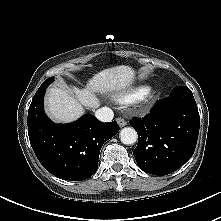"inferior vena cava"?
<instances>
[{
	"label": "inferior vena cava",
	"instance_id": "1",
	"mask_svg": "<svg viewBox=\"0 0 221 221\" xmlns=\"http://www.w3.org/2000/svg\"><path fill=\"white\" fill-rule=\"evenodd\" d=\"M95 116L97 117L98 120L102 122H110L112 121L114 117V113L112 109L103 107V108L96 110Z\"/></svg>",
	"mask_w": 221,
	"mask_h": 221
}]
</instances>
